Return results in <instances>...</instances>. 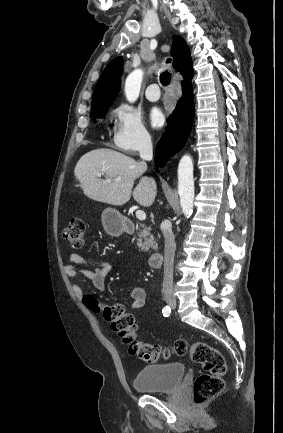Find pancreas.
<instances>
[{
    "label": "pancreas",
    "instance_id": "1",
    "mask_svg": "<svg viewBox=\"0 0 283 433\" xmlns=\"http://www.w3.org/2000/svg\"><path fill=\"white\" fill-rule=\"evenodd\" d=\"M143 227V225H141ZM151 229H143L142 233H138V247H141V249H145V251H149V247L153 245L154 239L150 233ZM149 237V239H147ZM142 239H146L145 243H142Z\"/></svg>",
    "mask_w": 283,
    "mask_h": 433
}]
</instances>
